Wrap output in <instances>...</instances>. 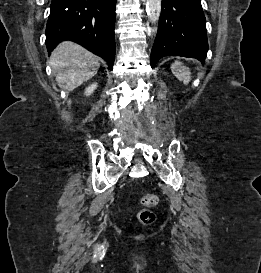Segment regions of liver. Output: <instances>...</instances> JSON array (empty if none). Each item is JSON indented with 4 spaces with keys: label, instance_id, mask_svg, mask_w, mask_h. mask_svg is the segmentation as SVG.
Instances as JSON below:
<instances>
[{
    "label": "liver",
    "instance_id": "6515ba94",
    "mask_svg": "<svg viewBox=\"0 0 261 273\" xmlns=\"http://www.w3.org/2000/svg\"><path fill=\"white\" fill-rule=\"evenodd\" d=\"M49 65L56 71V82L67 92L91 79L98 71L99 58L73 42L60 43L52 52Z\"/></svg>",
    "mask_w": 261,
    "mask_h": 273
}]
</instances>
